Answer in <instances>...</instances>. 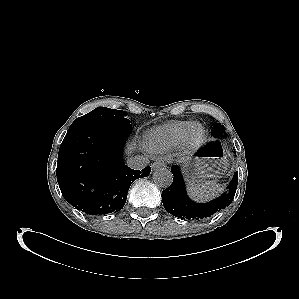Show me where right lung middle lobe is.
I'll return each mask as SVG.
<instances>
[{
  "label": "right lung middle lobe",
  "instance_id": "obj_1",
  "mask_svg": "<svg viewBox=\"0 0 299 299\" xmlns=\"http://www.w3.org/2000/svg\"><path fill=\"white\" fill-rule=\"evenodd\" d=\"M126 112L106 107H98L88 114L77 118L69 127L74 129L77 127H92L100 125L126 124L130 121L125 118Z\"/></svg>",
  "mask_w": 299,
  "mask_h": 299
}]
</instances>
